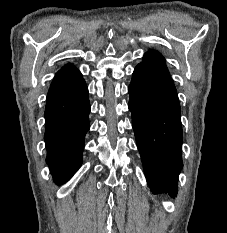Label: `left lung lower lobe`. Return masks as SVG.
I'll list each match as a JSON object with an SVG mask.
<instances>
[{
  "instance_id": "left-lung-lower-lobe-1",
  "label": "left lung lower lobe",
  "mask_w": 227,
  "mask_h": 233,
  "mask_svg": "<svg viewBox=\"0 0 227 233\" xmlns=\"http://www.w3.org/2000/svg\"><path fill=\"white\" fill-rule=\"evenodd\" d=\"M128 92L148 185L153 192L174 197L183 167L181 108L174 82L169 75L137 66Z\"/></svg>"
}]
</instances>
